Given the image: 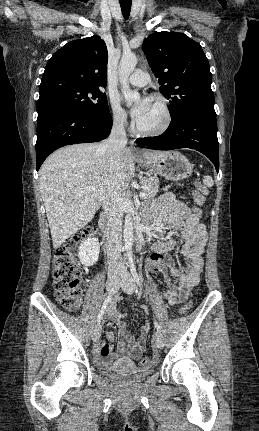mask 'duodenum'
Masks as SVG:
<instances>
[{"instance_id":"duodenum-1","label":"duodenum","mask_w":259,"mask_h":431,"mask_svg":"<svg viewBox=\"0 0 259 431\" xmlns=\"http://www.w3.org/2000/svg\"><path fill=\"white\" fill-rule=\"evenodd\" d=\"M110 220L109 215L106 211H104L100 217L99 226L102 231L107 232L109 229ZM144 237H145V226L139 225L137 227V244L136 247L138 250H141L144 246Z\"/></svg>"}]
</instances>
